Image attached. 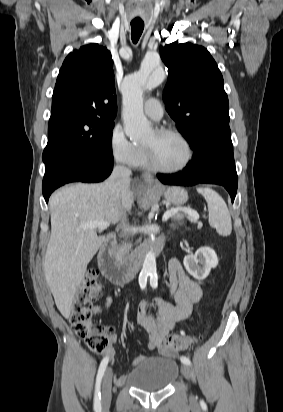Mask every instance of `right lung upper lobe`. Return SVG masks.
Instances as JSON below:
<instances>
[{"mask_svg":"<svg viewBox=\"0 0 283 412\" xmlns=\"http://www.w3.org/2000/svg\"><path fill=\"white\" fill-rule=\"evenodd\" d=\"M70 111L92 113L103 123H114L117 98L113 60L105 47L89 44L64 60L52 96L51 116Z\"/></svg>","mask_w":283,"mask_h":412,"instance_id":"1","label":"right lung upper lobe"}]
</instances>
